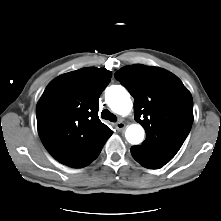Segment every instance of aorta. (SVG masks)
I'll return each instance as SVG.
<instances>
[{"label":"aorta","instance_id":"obj_1","mask_svg":"<svg viewBox=\"0 0 221 221\" xmlns=\"http://www.w3.org/2000/svg\"><path fill=\"white\" fill-rule=\"evenodd\" d=\"M106 102L111 110L120 115H127L132 107L133 103L128 91L120 86L114 85L106 90ZM144 129L139 124L130 125L125 132L127 141L133 145L141 143L144 139Z\"/></svg>","mask_w":221,"mask_h":221}]
</instances>
